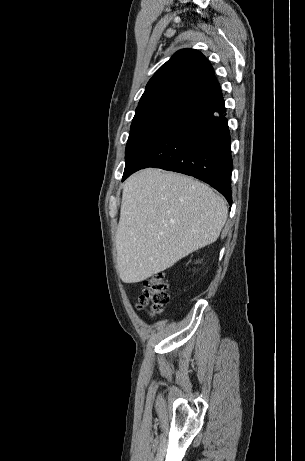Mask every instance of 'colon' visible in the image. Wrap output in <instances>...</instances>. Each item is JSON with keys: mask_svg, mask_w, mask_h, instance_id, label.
Segmentation results:
<instances>
[{"mask_svg": "<svg viewBox=\"0 0 305 461\" xmlns=\"http://www.w3.org/2000/svg\"><path fill=\"white\" fill-rule=\"evenodd\" d=\"M169 303L168 284L165 275L154 274L143 281L138 308H149L154 315L160 314Z\"/></svg>", "mask_w": 305, "mask_h": 461, "instance_id": "obj_1", "label": "colon"}]
</instances>
